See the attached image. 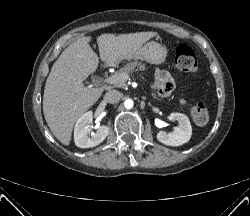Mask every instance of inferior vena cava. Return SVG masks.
Returning <instances> with one entry per match:
<instances>
[{"instance_id":"1","label":"inferior vena cava","mask_w":250,"mask_h":216,"mask_svg":"<svg viewBox=\"0 0 250 216\" xmlns=\"http://www.w3.org/2000/svg\"><path fill=\"white\" fill-rule=\"evenodd\" d=\"M121 98L122 93L118 90H110L104 96V99L111 104L118 103Z\"/></svg>"}]
</instances>
